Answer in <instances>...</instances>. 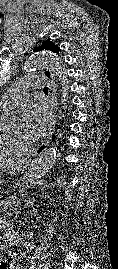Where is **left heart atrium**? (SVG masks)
<instances>
[{
    "label": "left heart atrium",
    "mask_w": 118,
    "mask_h": 269,
    "mask_svg": "<svg viewBox=\"0 0 118 269\" xmlns=\"http://www.w3.org/2000/svg\"><path fill=\"white\" fill-rule=\"evenodd\" d=\"M51 113L42 101H33L25 109L23 121L25 132L31 139H37L48 129Z\"/></svg>",
    "instance_id": "obj_1"
}]
</instances>
